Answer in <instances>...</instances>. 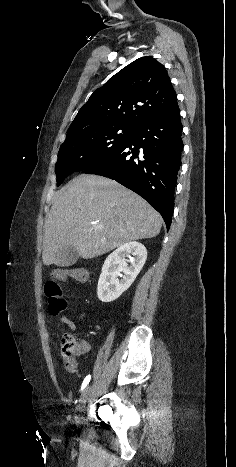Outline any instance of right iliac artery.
Wrapping results in <instances>:
<instances>
[{
	"label": "right iliac artery",
	"instance_id": "82829eb1",
	"mask_svg": "<svg viewBox=\"0 0 236 467\" xmlns=\"http://www.w3.org/2000/svg\"><path fill=\"white\" fill-rule=\"evenodd\" d=\"M90 379H91V375L86 376V378L84 379V381H83V383H82L81 391L87 386V384L89 383Z\"/></svg>",
	"mask_w": 236,
	"mask_h": 467
}]
</instances>
